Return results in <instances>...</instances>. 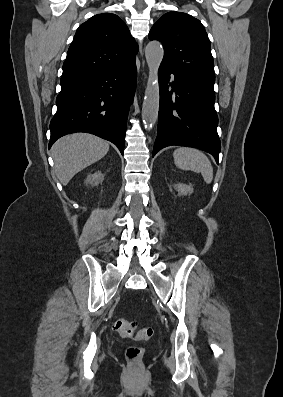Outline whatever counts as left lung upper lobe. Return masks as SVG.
<instances>
[{
	"label": "left lung upper lobe",
	"instance_id": "1",
	"mask_svg": "<svg viewBox=\"0 0 283 397\" xmlns=\"http://www.w3.org/2000/svg\"><path fill=\"white\" fill-rule=\"evenodd\" d=\"M148 37L163 44L161 64L214 91L215 73L210 40L198 19L185 13L168 12L153 25Z\"/></svg>",
	"mask_w": 283,
	"mask_h": 397
}]
</instances>
